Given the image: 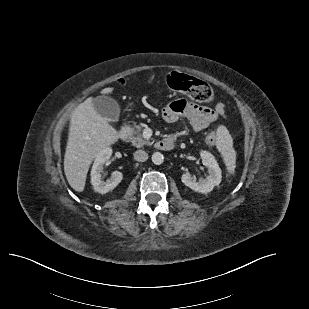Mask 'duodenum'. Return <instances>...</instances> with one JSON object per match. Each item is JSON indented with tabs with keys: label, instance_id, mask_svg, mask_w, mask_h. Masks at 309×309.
<instances>
[{
	"label": "duodenum",
	"instance_id": "1",
	"mask_svg": "<svg viewBox=\"0 0 309 309\" xmlns=\"http://www.w3.org/2000/svg\"><path fill=\"white\" fill-rule=\"evenodd\" d=\"M128 136H129V130L127 128H122L118 131V138L121 141H126ZM174 145L175 141L170 138H163L155 143V147L161 151H169L173 149Z\"/></svg>",
	"mask_w": 309,
	"mask_h": 309
}]
</instances>
